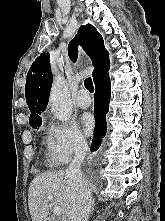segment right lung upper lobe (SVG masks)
<instances>
[{
    "label": "right lung upper lobe",
    "mask_w": 165,
    "mask_h": 221,
    "mask_svg": "<svg viewBox=\"0 0 165 221\" xmlns=\"http://www.w3.org/2000/svg\"><path fill=\"white\" fill-rule=\"evenodd\" d=\"M79 44L92 60L95 67L92 77L94 83L97 84L109 75V53L104 47L103 38L92 25L81 26L78 34L68 45V55L73 62L77 59V46ZM51 84L52 74L49 53H42L33 62L27 74L25 96L31 111L30 120L41 118L39 114L47 106Z\"/></svg>",
    "instance_id": "right-lung-upper-lobe-1"
}]
</instances>
